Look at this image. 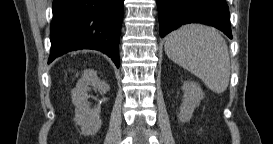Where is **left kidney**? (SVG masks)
<instances>
[{
	"mask_svg": "<svg viewBox=\"0 0 273 144\" xmlns=\"http://www.w3.org/2000/svg\"><path fill=\"white\" fill-rule=\"evenodd\" d=\"M184 94L178 119L181 122H188L192 118L194 109L204 98V93L200 86L192 81H185L182 87Z\"/></svg>",
	"mask_w": 273,
	"mask_h": 144,
	"instance_id": "5707ae66",
	"label": "left kidney"
}]
</instances>
